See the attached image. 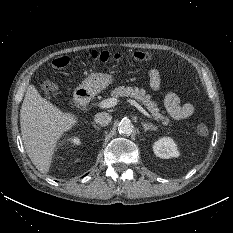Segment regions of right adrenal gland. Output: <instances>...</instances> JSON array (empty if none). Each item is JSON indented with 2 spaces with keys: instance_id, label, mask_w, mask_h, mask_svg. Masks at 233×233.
Returning a JSON list of instances; mask_svg holds the SVG:
<instances>
[{
  "instance_id": "right-adrenal-gland-1",
  "label": "right adrenal gland",
  "mask_w": 233,
  "mask_h": 233,
  "mask_svg": "<svg viewBox=\"0 0 233 233\" xmlns=\"http://www.w3.org/2000/svg\"><path fill=\"white\" fill-rule=\"evenodd\" d=\"M91 124L93 125V127H94L96 130H98V131L100 130V128H99L94 122H92Z\"/></svg>"
}]
</instances>
